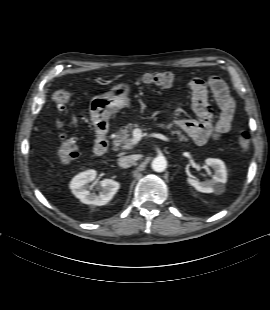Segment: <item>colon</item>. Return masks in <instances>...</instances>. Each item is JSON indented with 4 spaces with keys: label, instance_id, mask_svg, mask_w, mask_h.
Wrapping results in <instances>:
<instances>
[{
    "label": "colon",
    "instance_id": "obj_1",
    "mask_svg": "<svg viewBox=\"0 0 270 310\" xmlns=\"http://www.w3.org/2000/svg\"><path fill=\"white\" fill-rule=\"evenodd\" d=\"M139 83L171 87L177 83V78L170 72L146 73L139 78ZM71 97L72 95L69 91L58 90L53 94L52 101L54 106L61 111L64 110L70 103ZM55 127L57 130H61L63 123L61 121H56ZM57 140L59 143L58 156L62 162H69L79 156L80 150L78 140L76 138L67 137L62 133H58ZM236 142L240 151L244 153L249 151L251 145V138L249 133L241 132L238 134Z\"/></svg>",
    "mask_w": 270,
    "mask_h": 310
}]
</instances>
